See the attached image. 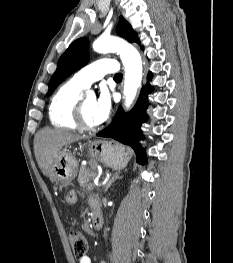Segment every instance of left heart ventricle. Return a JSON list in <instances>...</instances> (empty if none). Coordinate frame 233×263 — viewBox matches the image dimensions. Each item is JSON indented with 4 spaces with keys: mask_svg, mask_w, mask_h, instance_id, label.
<instances>
[{
    "mask_svg": "<svg viewBox=\"0 0 233 263\" xmlns=\"http://www.w3.org/2000/svg\"><path fill=\"white\" fill-rule=\"evenodd\" d=\"M95 99L92 97H85L83 99V112L85 120L90 125H95L92 120V110L94 106Z\"/></svg>",
    "mask_w": 233,
    "mask_h": 263,
    "instance_id": "left-heart-ventricle-1",
    "label": "left heart ventricle"
}]
</instances>
